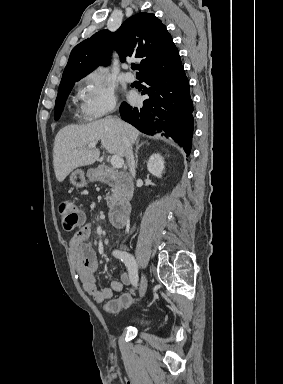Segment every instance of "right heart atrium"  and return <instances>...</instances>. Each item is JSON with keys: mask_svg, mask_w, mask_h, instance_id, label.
<instances>
[{"mask_svg": "<svg viewBox=\"0 0 283 384\" xmlns=\"http://www.w3.org/2000/svg\"><path fill=\"white\" fill-rule=\"evenodd\" d=\"M77 91L80 98L79 117L88 124H99L102 118L114 112L118 106L114 86L97 73L85 75L78 82Z\"/></svg>", "mask_w": 283, "mask_h": 384, "instance_id": "d8ad5b80", "label": "right heart atrium"}]
</instances>
